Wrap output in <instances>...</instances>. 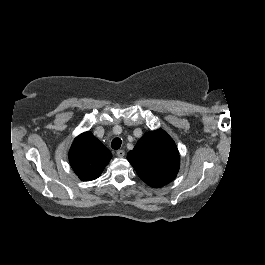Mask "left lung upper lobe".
<instances>
[{
    "mask_svg": "<svg viewBox=\"0 0 265 265\" xmlns=\"http://www.w3.org/2000/svg\"><path fill=\"white\" fill-rule=\"evenodd\" d=\"M127 159L138 176L154 188L174 180L180 167L177 146L163 130L146 133L129 151Z\"/></svg>",
    "mask_w": 265,
    "mask_h": 265,
    "instance_id": "5c2ea615",
    "label": "left lung upper lobe"
}]
</instances>
